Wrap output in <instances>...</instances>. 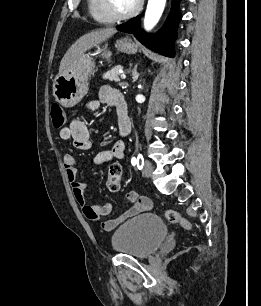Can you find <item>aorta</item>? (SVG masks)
I'll return each mask as SVG.
<instances>
[{"label":"aorta","mask_w":261,"mask_h":306,"mask_svg":"<svg viewBox=\"0 0 261 306\" xmlns=\"http://www.w3.org/2000/svg\"><path fill=\"white\" fill-rule=\"evenodd\" d=\"M165 3L166 0H148L144 18V27L147 31L151 30L158 23L164 11Z\"/></svg>","instance_id":"1"}]
</instances>
